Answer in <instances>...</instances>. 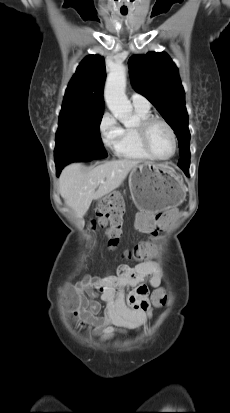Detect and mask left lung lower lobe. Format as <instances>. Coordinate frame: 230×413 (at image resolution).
Returning a JSON list of instances; mask_svg holds the SVG:
<instances>
[{
  "label": "left lung lower lobe",
  "mask_w": 230,
  "mask_h": 413,
  "mask_svg": "<svg viewBox=\"0 0 230 413\" xmlns=\"http://www.w3.org/2000/svg\"><path fill=\"white\" fill-rule=\"evenodd\" d=\"M183 171L185 172V174H186L187 176H189V170L185 169V170H183Z\"/></svg>",
  "instance_id": "left-lung-lower-lobe-1"
}]
</instances>
